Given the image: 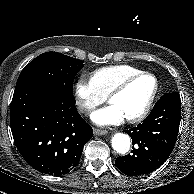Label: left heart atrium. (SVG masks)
<instances>
[{"label": "left heart atrium", "mask_w": 194, "mask_h": 194, "mask_svg": "<svg viewBox=\"0 0 194 194\" xmlns=\"http://www.w3.org/2000/svg\"><path fill=\"white\" fill-rule=\"evenodd\" d=\"M124 117L118 110L109 105L92 114V121L99 126L116 125L123 122Z\"/></svg>", "instance_id": "39dd6f15"}]
</instances>
